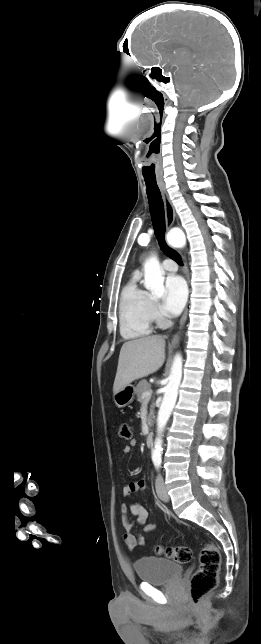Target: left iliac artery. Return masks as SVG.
I'll list each match as a JSON object with an SVG mask.
<instances>
[{
	"instance_id": "1",
	"label": "left iliac artery",
	"mask_w": 261,
	"mask_h": 644,
	"mask_svg": "<svg viewBox=\"0 0 261 644\" xmlns=\"http://www.w3.org/2000/svg\"><path fill=\"white\" fill-rule=\"evenodd\" d=\"M153 462H154V465H155L157 468H159V466H160V464H161V459H160V458H154V459H153Z\"/></svg>"
}]
</instances>
